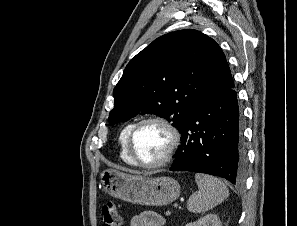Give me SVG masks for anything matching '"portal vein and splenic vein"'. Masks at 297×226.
<instances>
[{
	"label": "portal vein and splenic vein",
	"mask_w": 297,
	"mask_h": 226,
	"mask_svg": "<svg viewBox=\"0 0 297 226\" xmlns=\"http://www.w3.org/2000/svg\"><path fill=\"white\" fill-rule=\"evenodd\" d=\"M173 206H174V208H176V209H177V208L179 207V204H178V203H174V205H173Z\"/></svg>",
	"instance_id": "obj_1"
}]
</instances>
